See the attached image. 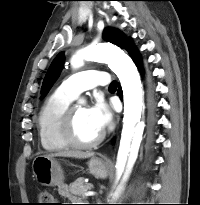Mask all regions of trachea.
Instances as JSON below:
<instances>
[{
    "instance_id": "3493384b",
    "label": "trachea",
    "mask_w": 200,
    "mask_h": 205,
    "mask_svg": "<svg viewBox=\"0 0 200 205\" xmlns=\"http://www.w3.org/2000/svg\"><path fill=\"white\" fill-rule=\"evenodd\" d=\"M116 88H117L116 82L113 81V82L109 85V89H116Z\"/></svg>"
}]
</instances>
